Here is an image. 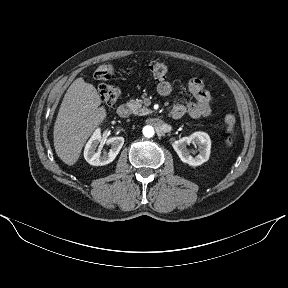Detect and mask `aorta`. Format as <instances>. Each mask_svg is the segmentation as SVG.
<instances>
[{
  "mask_svg": "<svg viewBox=\"0 0 288 288\" xmlns=\"http://www.w3.org/2000/svg\"><path fill=\"white\" fill-rule=\"evenodd\" d=\"M143 134H144V136L147 137V138L153 137L154 134H155L154 128H153L152 126H149V125H148V126H145V127L143 128Z\"/></svg>",
  "mask_w": 288,
  "mask_h": 288,
  "instance_id": "aorta-1",
  "label": "aorta"
}]
</instances>
